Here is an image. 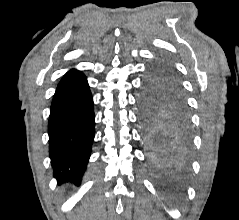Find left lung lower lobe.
<instances>
[{
  "label": "left lung lower lobe",
  "mask_w": 239,
  "mask_h": 220,
  "mask_svg": "<svg viewBox=\"0 0 239 220\" xmlns=\"http://www.w3.org/2000/svg\"><path fill=\"white\" fill-rule=\"evenodd\" d=\"M154 130H147L151 158L158 164H176L185 161L190 141L187 112L174 111Z\"/></svg>",
  "instance_id": "1"
}]
</instances>
